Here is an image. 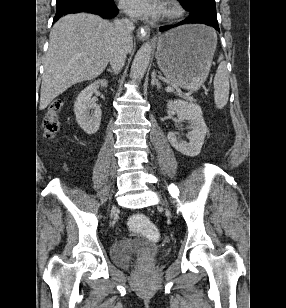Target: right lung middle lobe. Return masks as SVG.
Instances as JSON below:
<instances>
[{
  "label": "right lung middle lobe",
  "mask_w": 286,
  "mask_h": 308,
  "mask_svg": "<svg viewBox=\"0 0 286 308\" xmlns=\"http://www.w3.org/2000/svg\"><path fill=\"white\" fill-rule=\"evenodd\" d=\"M65 1H68V0H57V4L65 2Z\"/></svg>",
  "instance_id": "1"
}]
</instances>
